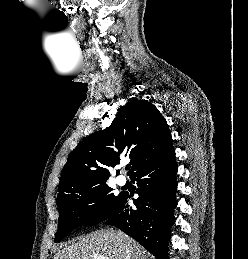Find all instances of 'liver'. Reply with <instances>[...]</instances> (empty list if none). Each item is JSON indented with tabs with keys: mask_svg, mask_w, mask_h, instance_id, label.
<instances>
[{
	"mask_svg": "<svg viewBox=\"0 0 248 259\" xmlns=\"http://www.w3.org/2000/svg\"><path fill=\"white\" fill-rule=\"evenodd\" d=\"M148 259L146 251L126 234L108 229L98 230L73 241L59 250L53 259H93L106 256L109 259Z\"/></svg>",
	"mask_w": 248,
	"mask_h": 259,
	"instance_id": "liver-1",
	"label": "liver"
}]
</instances>
